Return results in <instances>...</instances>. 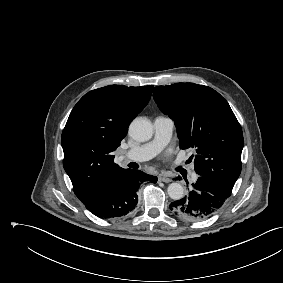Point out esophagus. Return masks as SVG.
I'll list each match as a JSON object with an SVG mask.
<instances>
[{"instance_id":"esophagus-1","label":"esophagus","mask_w":283,"mask_h":283,"mask_svg":"<svg viewBox=\"0 0 283 283\" xmlns=\"http://www.w3.org/2000/svg\"><path fill=\"white\" fill-rule=\"evenodd\" d=\"M158 180L161 181V182H165V183H169V182L172 181L171 178H169V177H167V176H164V175H160V176L158 177Z\"/></svg>"}]
</instances>
